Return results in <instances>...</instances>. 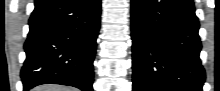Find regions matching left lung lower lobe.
<instances>
[{"mask_svg": "<svg viewBox=\"0 0 220 91\" xmlns=\"http://www.w3.org/2000/svg\"><path fill=\"white\" fill-rule=\"evenodd\" d=\"M192 0H132L133 91H202Z\"/></svg>", "mask_w": 220, "mask_h": 91, "instance_id": "left-lung-lower-lobe-1", "label": "left lung lower lobe"}]
</instances>
